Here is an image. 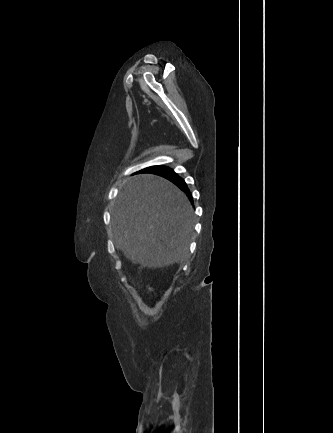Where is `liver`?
I'll list each match as a JSON object with an SVG mask.
<instances>
[{"label":"liver","instance_id":"1","mask_svg":"<svg viewBox=\"0 0 333 433\" xmlns=\"http://www.w3.org/2000/svg\"><path fill=\"white\" fill-rule=\"evenodd\" d=\"M111 221L116 247L133 264L161 268L187 257L193 208L187 196L162 177L128 178L116 198Z\"/></svg>","mask_w":333,"mask_h":433}]
</instances>
